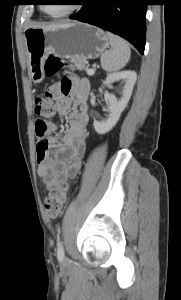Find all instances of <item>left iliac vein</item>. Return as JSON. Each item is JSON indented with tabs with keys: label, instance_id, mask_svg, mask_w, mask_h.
<instances>
[{
	"label": "left iliac vein",
	"instance_id": "obj_1",
	"mask_svg": "<svg viewBox=\"0 0 181 300\" xmlns=\"http://www.w3.org/2000/svg\"><path fill=\"white\" fill-rule=\"evenodd\" d=\"M61 266H62L63 268H66V267L69 266V261H68L67 258H64V259L62 260Z\"/></svg>",
	"mask_w": 181,
	"mask_h": 300
}]
</instances>
